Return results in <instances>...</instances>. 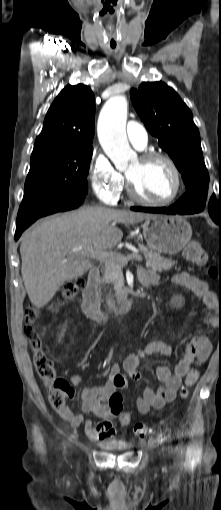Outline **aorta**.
Wrapping results in <instances>:
<instances>
[{
  "mask_svg": "<svg viewBox=\"0 0 221 510\" xmlns=\"http://www.w3.org/2000/svg\"><path fill=\"white\" fill-rule=\"evenodd\" d=\"M128 103L123 95L110 98L103 106L97 123L100 144L116 168L125 170L135 153L126 136Z\"/></svg>",
  "mask_w": 221,
  "mask_h": 510,
  "instance_id": "obj_1",
  "label": "aorta"
}]
</instances>
